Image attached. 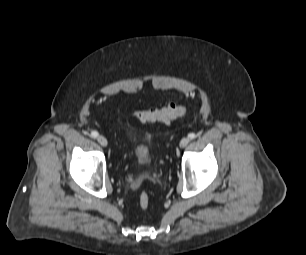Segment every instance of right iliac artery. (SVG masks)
I'll use <instances>...</instances> for the list:
<instances>
[{"mask_svg":"<svg viewBox=\"0 0 306 255\" xmlns=\"http://www.w3.org/2000/svg\"><path fill=\"white\" fill-rule=\"evenodd\" d=\"M91 137L97 138L98 137V132L97 131H92L91 132Z\"/></svg>","mask_w":306,"mask_h":255,"instance_id":"right-iliac-artery-1","label":"right iliac artery"}]
</instances>
